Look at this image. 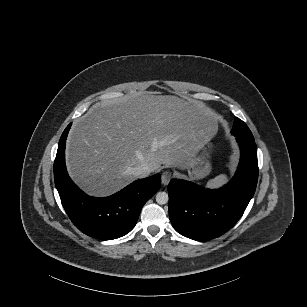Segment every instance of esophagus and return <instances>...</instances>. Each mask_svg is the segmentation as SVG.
<instances>
[{
	"instance_id": "34e87169",
	"label": "esophagus",
	"mask_w": 307,
	"mask_h": 307,
	"mask_svg": "<svg viewBox=\"0 0 307 307\" xmlns=\"http://www.w3.org/2000/svg\"><path fill=\"white\" fill-rule=\"evenodd\" d=\"M172 177V173L170 171H164L161 176V181L163 185H167Z\"/></svg>"
}]
</instances>
